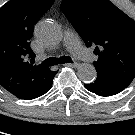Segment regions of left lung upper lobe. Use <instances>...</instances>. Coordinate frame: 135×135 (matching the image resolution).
<instances>
[{
	"label": "left lung upper lobe",
	"mask_w": 135,
	"mask_h": 135,
	"mask_svg": "<svg viewBox=\"0 0 135 135\" xmlns=\"http://www.w3.org/2000/svg\"><path fill=\"white\" fill-rule=\"evenodd\" d=\"M60 7L95 48L97 77L128 87L135 78V21L109 0H63Z\"/></svg>",
	"instance_id": "left-lung-upper-lobe-1"
}]
</instances>
